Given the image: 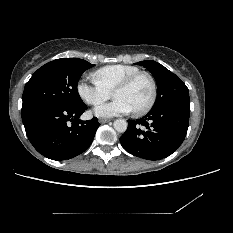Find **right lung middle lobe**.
Wrapping results in <instances>:
<instances>
[{"instance_id": "1", "label": "right lung middle lobe", "mask_w": 233, "mask_h": 233, "mask_svg": "<svg viewBox=\"0 0 233 233\" xmlns=\"http://www.w3.org/2000/svg\"><path fill=\"white\" fill-rule=\"evenodd\" d=\"M93 66L79 58H60L43 65L25 85L21 112L44 104L80 106L83 101L77 91L78 80Z\"/></svg>"}]
</instances>
